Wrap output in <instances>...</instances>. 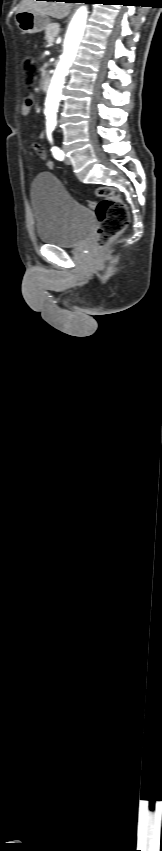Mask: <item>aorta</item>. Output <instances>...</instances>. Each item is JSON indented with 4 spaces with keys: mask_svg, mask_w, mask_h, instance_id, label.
I'll use <instances>...</instances> for the list:
<instances>
[{
    "mask_svg": "<svg viewBox=\"0 0 162 851\" xmlns=\"http://www.w3.org/2000/svg\"><path fill=\"white\" fill-rule=\"evenodd\" d=\"M87 17V7L81 6L76 11L69 24L64 41V51L55 69L47 92L46 112L47 121L49 122L56 121V114L59 107V101L61 99L65 77L67 76L69 68L76 57L79 43L84 34Z\"/></svg>",
    "mask_w": 162,
    "mask_h": 851,
    "instance_id": "aorta-1",
    "label": "aorta"
}]
</instances>
